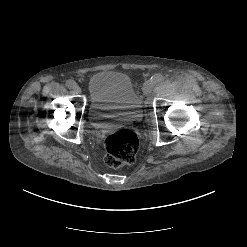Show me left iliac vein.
<instances>
[{"mask_svg":"<svg viewBox=\"0 0 247 247\" xmlns=\"http://www.w3.org/2000/svg\"><path fill=\"white\" fill-rule=\"evenodd\" d=\"M152 88H153V83L151 81L146 82L142 88L143 94L148 95L151 92Z\"/></svg>","mask_w":247,"mask_h":247,"instance_id":"4c4485c4","label":"left iliac vein"}]
</instances>
